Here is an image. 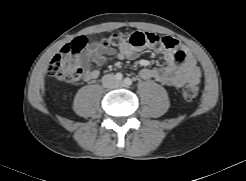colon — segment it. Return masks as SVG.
Masks as SVG:
<instances>
[{"mask_svg":"<svg viewBox=\"0 0 246 181\" xmlns=\"http://www.w3.org/2000/svg\"><path fill=\"white\" fill-rule=\"evenodd\" d=\"M164 37L152 32L136 31L133 33H113L103 40L104 45L128 42L134 47L161 44ZM86 47V37L79 36L71 43L64 46L49 66L50 74L57 80L74 84L83 83L87 78V72L78 54ZM183 96L186 100H193L198 96L199 89L196 84L187 83L184 85Z\"/></svg>","mask_w":246,"mask_h":181,"instance_id":"colon-1","label":"colon"}]
</instances>
